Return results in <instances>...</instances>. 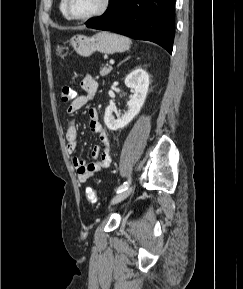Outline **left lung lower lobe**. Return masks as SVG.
I'll return each instance as SVG.
<instances>
[{"label": "left lung lower lobe", "instance_id": "obj_1", "mask_svg": "<svg viewBox=\"0 0 243 289\" xmlns=\"http://www.w3.org/2000/svg\"><path fill=\"white\" fill-rule=\"evenodd\" d=\"M175 1L109 0L105 13L85 24L89 28L110 30L134 39L148 40L172 52L175 35Z\"/></svg>", "mask_w": 243, "mask_h": 289}]
</instances>
